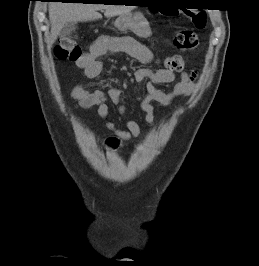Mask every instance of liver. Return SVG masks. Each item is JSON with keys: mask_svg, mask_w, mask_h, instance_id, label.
I'll use <instances>...</instances> for the list:
<instances>
[{"mask_svg": "<svg viewBox=\"0 0 259 266\" xmlns=\"http://www.w3.org/2000/svg\"><path fill=\"white\" fill-rule=\"evenodd\" d=\"M133 7L124 5H103L83 3L53 2L49 5V19L51 32L49 45H52L59 36L62 28L70 22H88L100 19L99 10H105L106 17L128 14Z\"/></svg>", "mask_w": 259, "mask_h": 266, "instance_id": "liver-1", "label": "liver"}]
</instances>
